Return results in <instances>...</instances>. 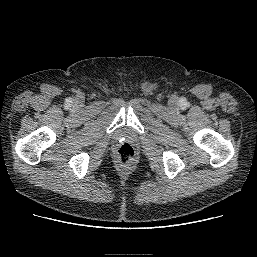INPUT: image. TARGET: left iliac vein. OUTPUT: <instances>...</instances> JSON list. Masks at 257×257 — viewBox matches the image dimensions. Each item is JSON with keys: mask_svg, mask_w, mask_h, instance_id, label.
<instances>
[{"mask_svg": "<svg viewBox=\"0 0 257 257\" xmlns=\"http://www.w3.org/2000/svg\"><path fill=\"white\" fill-rule=\"evenodd\" d=\"M175 102H176L175 98H172V99L170 100V104H171L172 106L175 105Z\"/></svg>", "mask_w": 257, "mask_h": 257, "instance_id": "1", "label": "left iliac vein"}]
</instances>
